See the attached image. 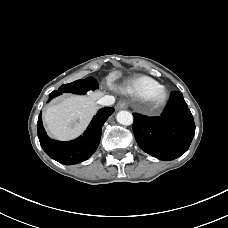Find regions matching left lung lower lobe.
Wrapping results in <instances>:
<instances>
[{
    "label": "left lung lower lobe",
    "instance_id": "0a47b994",
    "mask_svg": "<svg viewBox=\"0 0 228 228\" xmlns=\"http://www.w3.org/2000/svg\"><path fill=\"white\" fill-rule=\"evenodd\" d=\"M133 132L139 147L160 160L184 154L193 139L195 124L182 93L174 91L159 117L134 113Z\"/></svg>",
    "mask_w": 228,
    "mask_h": 228
}]
</instances>
